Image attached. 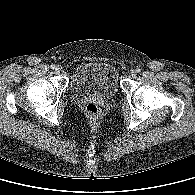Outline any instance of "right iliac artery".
<instances>
[{
	"label": "right iliac artery",
	"mask_w": 195,
	"mask_h": 195,
	"mask_svg": "<svg viewBox=\"0 0 195 195\" xmlns=\"http://www.w3.org/2000/svg\"><path fill=\"white\" fill-rule=\"evenodd\" d=\"M56 66L54 64L51 65V69H55Z\"/></svg>",
	"instance_id": "82829eb1"
}]
</instances>
